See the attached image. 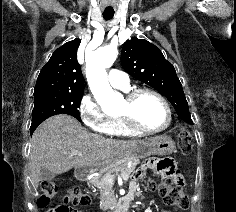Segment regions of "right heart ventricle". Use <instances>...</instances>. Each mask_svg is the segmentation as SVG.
Wrapping results in <instances>:
<instances>
[{"mask_svg":"<svg viewBox=\"0 0 236 212\" xmlns=\"http://www.w3.org/2000/svg\"><path fill=\"white\" fill-rule=\"evenodd\" d=\"M105 133L118 137H134L139 135V133L129 129L118 115L109 117Z\"/></svg>","mask_w":236,"mask_h":212,"instance_id":"e07e8e85","label":"right heart ventricle"}]
</instances>
